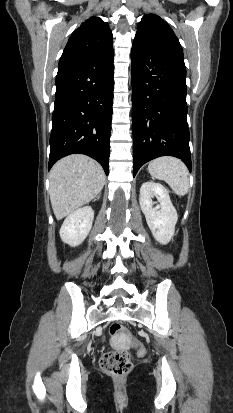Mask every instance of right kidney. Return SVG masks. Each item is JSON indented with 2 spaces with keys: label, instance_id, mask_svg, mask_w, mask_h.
<instances>
[{
  "label": "right kidney",
  "instance_id": "1",
  "mask_svg": "<svg viewBox=\"0 0 233 413\" xmlns=\"http://www.w3.org/2000/svg\"><path fill=\"white\" fill-rule=\"evenodd\" d=\"M93 219L94 211L91 206L79 208L69 214L60 229L62 241L71 247L80 245L89 234Z\"/></svg>",
  "mask_w": 233,
  "mask_h": 413
}]
</instances>
